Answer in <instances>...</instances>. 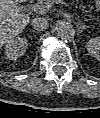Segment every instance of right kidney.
I'll return each instance as SVG.
<instances>
[{"instance_id": "right-kidney-1", "label": "right kidney", "mask_w": 100, "mask_h": 118, "mask_svg": "<svg viewBox=\"0 0 100 118\" xmlns=\"http://www.w3.org/2000/svg\"><path fill=\"white\" fill-rule=\"evenodd\" d=\"M28 48V40L23 37L7 40L5 43V55L8 59L16 60L24 55Z\"/></svg>"}]
</instances>
